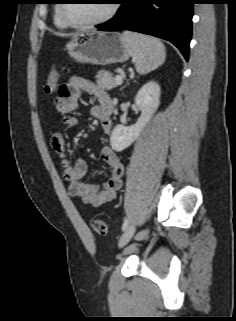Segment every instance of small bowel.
I'll use <instances>...</instances> for the list:
<instances>
[{
	"instance_id": "obj_1",
	"label": "small bowel",
	"mask_w": 236,
	"mask_h": 321,
	"mask_svg": "<svg viewBox=\"0 0 236 321\" xmlns=\"http://www.w3.org/2000/svg\"><path fill=\"white\" fill-rule=\"evenodd\" d=\"M82 92L92 94L97 99V104L92 108V114L99 120L104 133L109 134L113 125L111 99L103 88L82 77H71L61 87L55 98L54 105L63 116V124L68 128L79 125V119L70 114L79 108ZM51 146L61 159L64 177L68 183V193L72 197L79 198L92 206H101L115 198L117 190L121 187L124 166L110 147L104 146L100 149V157L110 168V176L103 185L99 186L84 181L87 174L85 160L78 157L71 161L67 158L66 141L61 132L52 134Z\"/></svg>"
}]
</instances>
